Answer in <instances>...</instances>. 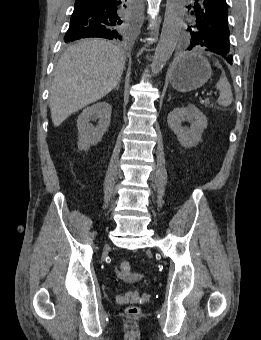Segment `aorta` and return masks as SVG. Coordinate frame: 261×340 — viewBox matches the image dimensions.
Segmentation results:
<instances>
[{"instance_id":"762f6f07","label":"aorta","mask_w":261,"mask_h":340,"mask_svg":"<svg viewBox=\"0 0 261 340\" xmlns=\"http://www.w3.org/2000/svg\"><path fill=\"white\" fill-rule=\"evenodd\" d=\"M186 0H167L163 27L155 49L151 70L159 74L171 57L180 37Z\"/></svg>"}]
</instances>
